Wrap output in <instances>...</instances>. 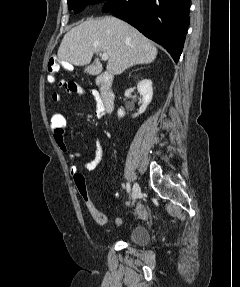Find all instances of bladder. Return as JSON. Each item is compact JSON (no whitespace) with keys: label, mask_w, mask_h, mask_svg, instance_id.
Listing matches in <instances>:
<instances>
[{"label":"bladder","mask_w":240,"mask_h":287,"mask_svg":"<svg viewBox=\"0 0 240 287\" xmlns=\"http://www.w3.org/2000/svg\"><path fill=\"white\" fill-rule=\"evenodd\" d=\"M127 239L135 244H147L150 240L147 229L143 226L137 225L132 227L127 233Z\"/></svg>","instance_id":"1"}]
</instances>
